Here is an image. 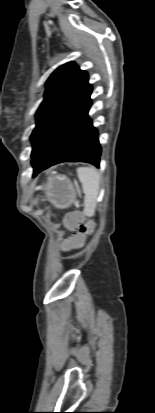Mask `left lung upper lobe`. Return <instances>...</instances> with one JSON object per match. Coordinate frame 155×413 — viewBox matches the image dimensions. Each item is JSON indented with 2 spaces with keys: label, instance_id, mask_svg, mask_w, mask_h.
I'll use <instances>...</instances> for the list:
<instances>
[{
  "label": "left lung upper lobe",
  "instance_id": "obj_1",
  "mask_svg": "<svg viewBox=\"0 0 155 413\" xmlns=\"http://www.w3.org/2000/svg\"><path fill=\"white\" fill-rule=\"evenodd\" d=\"M91 93L88 74L73 62L58 67L50 75L30 137L33 168L48 161L59 150V137L77 124L91 102Z\"/></svg>",
  "mask_w": 155,
  "mask_h": 413
}]
</instances>
